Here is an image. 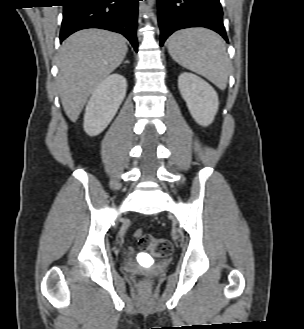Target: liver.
<instances>
[{
    "label": "liver",
    "mask_w": 304,
    "mask_h": 329,
    "mask_svg": "<svg viewBox=\"0 0 304 329\" xmlns=\"http://www.w3.org/2000/svg\"><path fill=\"white\" fill-rule=\"evenodd\" d=\"M125 39L101 29H85L68 37L58 54V89L68 118L75 122L90 94L123 61Z\"/></svg>",
    "instance_id": "liver-1"
}]
</instances>
